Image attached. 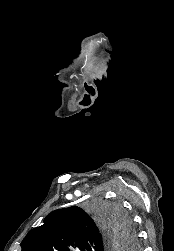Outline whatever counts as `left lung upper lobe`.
<instances>
[{
  "label": "left lung upper lobe",
  "mask_w": 174,
  "mask_h": 251,
  "mask_svg": "<svg viewBox=\"0 0 174 251\" xmlns=\"http://www.w3.org/2000/svg\"><path fill=\"white\" fill-rule=\"evenodd\" d=\"M95 212L103 231L80 207L51 212L43 225L28 232L21 243L22 251H105L135 242L132 222L120 207L99 205Z\"/></svg>",
  "instance_id": "obj_1"
}]
</instances>
